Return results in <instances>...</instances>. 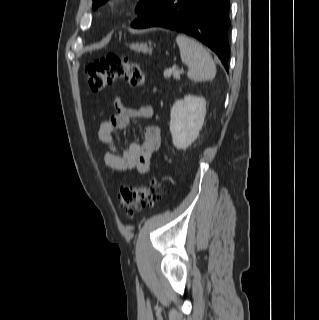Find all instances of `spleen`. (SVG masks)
Segmentation results:
<instances>
[{"label": "spleen", "mask_w": 319, "mask_h": 320, "mask_svg": "<svg viewBox=\"0 0 319 320\" xmlns=\"http://www.w3.org/2000/svg\"><path fill=\"white\" fill-rule=\"evenodd\" d=\"M181 60L189 68L187 76L194 81H207L216 75L215 63L208 51L196 40L183 34L176 37Z\"/></svg>", "instance_id": "3e777b00"}]
</instances>
